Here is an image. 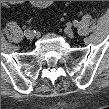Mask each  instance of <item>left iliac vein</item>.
Masks as SVG:
<instances>
[{"label": "left iliac vein", "mask_w": 109, "mask_h": 109, "mask_svg": "<svg viewBox=\"0 0 109 109\" xmlns=\"http://www.w3.org/2000/svg\"><path fill=\"white\" fill-rule=\"evenodd\" d=\"M64 32H65V34H66L68 37H70V38H72V37L74 36L73 30H72V28L69 27V26L64 29Z\"/></svg>", "instance_id": "4c4485c4"}]
</instances>
